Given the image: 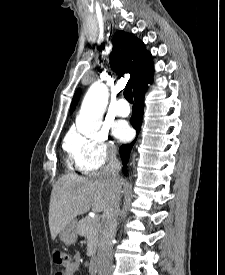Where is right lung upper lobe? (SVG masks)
<instances>
[{
  "label": "right lung upper lobe",
  "instance_id": "right-lung-upper-lobe-1",
  "mask_svg": "<svg viewBox=\"0 0 225 275\" xmlns=\"http://www.w3.org/2000/svg\"><path fill=\"white\" fill-rule=\"evenodd\" d=\"M151 54L145 49L144 43L133 34L118 31L113 37V49L110 54V65L119 74H130L127 85L135 94L153 73ZM80 96L78 89L73 97L70 111L73 112Z\"/></svg>",
  "mask_w": 225,
  "mask_h": 275
}]
</instances>
